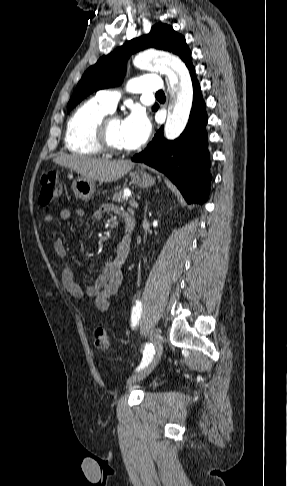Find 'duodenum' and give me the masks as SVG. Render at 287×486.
Returning <instances> with one entry per match:
<instances>
[{"mask_svg": "<svg viewBox=\"0 0 287 486\" xmlns=\"http://www.w3.org/2000/svg\"><path fill=\"white\" fill-rule=\"evenodd\" d=\"M125 232H124V239L127 241L130 239L131 234L135 228V218L131 215H127L125 218Z\"/></svg>", "mask_w": 287, "mask_h": 486, "instance_id": "obj_1", "label": "duodenum"}]
</instances>
